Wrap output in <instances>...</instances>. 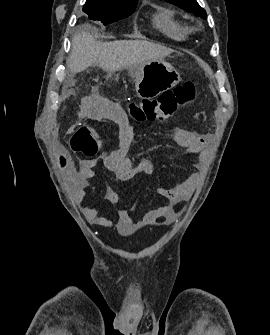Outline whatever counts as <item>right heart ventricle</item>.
<instances>
[{
	"label": "right heart ventricle",
	"mask_w": 270,
	"mask_h": 335,
	"mask_svg": "<svg viewBox=\"0 0 270 335\" xmlns=\"http://www.w3.org/2000/svg\"><path fill=\"white\" fill-rule=\"evenodd\" d=\"M153 24L159 32L173 40H182L190 33V29L178 21L170 9L163 6L156 9Z\"/></svg>",
	"instance_id": "obj_1"
}]
</instances>
